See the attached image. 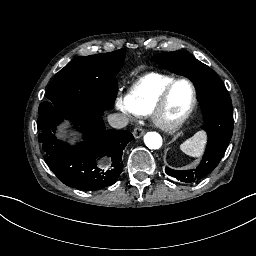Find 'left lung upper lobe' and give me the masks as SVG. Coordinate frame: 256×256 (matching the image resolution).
<instances>
[{
  "mask_svg": "<svg viewBox=\"0 0 256 256\" xmlns=\"http://www.w3.org/2000/svg\"><path fill=\"white\" fill-rule=\"evenodd\" d=\"M151 61L194 83L205 120L203 127L208 133V145L196 169L176 171L167 167L165 171L207 176L222 159L232 136L233 108L229 94L217 74L191 54L183 51L161 53L153 56Z\"/></svg>",
  "mask_w": 256,
  "mask_h": 256,
  "instance_id": "obj_1",
  "label": "left lung upper lobe"
}]
</instances>
